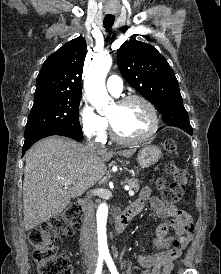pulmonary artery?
Instances as JSON below:
<instances>
[{"label": "pulmonary artery", "mask_w": 221, "mask_h": 274, "mask_svg": "<svg viewBox=\"0 0 221 274\" xmlns=\"http://www.w3.org/2000/svg\"><path fill=\"white\" fill-rule=\"evenodd\" d=\"M106 86L108 91L115 95L118 96L121 94L123 90V83L122 80L119 76L117 75H111L106 82Z\"/></svg>", "instance_id": "obj_1"}]
</instances>
